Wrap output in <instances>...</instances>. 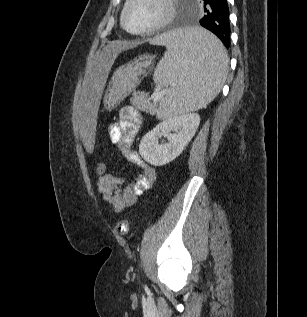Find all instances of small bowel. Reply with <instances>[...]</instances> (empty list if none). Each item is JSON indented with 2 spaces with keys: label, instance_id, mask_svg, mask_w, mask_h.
<instances>
[{
  "label": "small bowel",
  "instance_id": "small-bowel-1",
  "mask_svg": "<svg viewBox=\"0 0 307 317\" xmlns=\"http://www.w3.org/2000/svg\"><path fill=\"white\" fill-rule=\"evenodd\" d=\"M142 123L141 114L132 106H125L119 112V120L109 127V136L118 151L141 172L126 186L124 179L112 172H107L98 179V191L102 198L116 212H122L134 205L138 197L155 183L157 172L154 167L144 162L132 150L134 137Z\"/></svg>",
  "mask_w": 307,
  "mask_h": 317
}]
</instances>
